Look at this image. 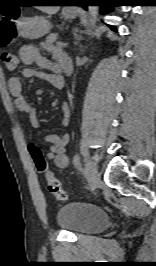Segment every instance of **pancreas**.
<instances>
[{
	"label": "pancreas",
	"instance_id": "obj_1",
	"mask_svg": "<svg viewBox=\"0 0 156 266\" xmlns=\"http://www.w3.org/2000/svg\"><path fill=\"white\" fill-rule=\"evenodd\" d=\"M57 38H58V34L57 33H51V34H49L46 37L45 42L41 43V45L44 46L47 49L52 50V49L55 48L54 43L56 42Z\"/></svg>",
	"mask_w": 156,
	"mask_h": 266
}]
</instances>
